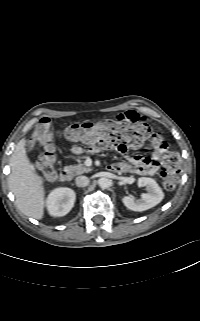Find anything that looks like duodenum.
I'll return each instance as SVG.
<instances>
[{
	"mask_svg": "<svg viewBox=\"0 0 200 321\" xmlns=\"http://www.w3.org/2000/svg\"><path fill=\"white\" fill-rule=\"evenodd\" d=\"M72 177V173L69 169H63L60 173V180L63 182L69 181Z\"/></svg>",
	"mask_w": 200,
	"mask_h": 321,
	"instance_id": "1",
	"label": "duodenum"
}]
</instances>
